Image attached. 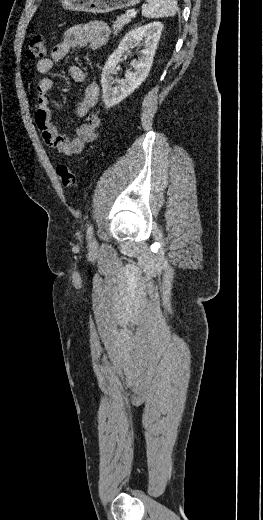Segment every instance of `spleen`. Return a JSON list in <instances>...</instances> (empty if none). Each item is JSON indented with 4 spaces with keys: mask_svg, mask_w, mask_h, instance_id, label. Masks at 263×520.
Listing matches in <instances>:
<instances>
[{
    "mask_svg": "<svg viewBox=\"0 0 263 520\" xmlns=\"http://www.w3.org/2000/svg\"><path fill=\"white\" fill-rule=\"evenodd\" d=\"M148 5L142 10L146 18L172 17L177 12L176 0H146Z\"/></svg>",
    "mask_w": 263,
    "mask_h": 520,
    "instance_id": "obj_1",
    "label": "spleen"
}]
</instances>
